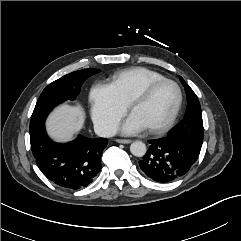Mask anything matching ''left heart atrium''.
Returning a JSON list of instances; mask_svg holds the SVG:
<instances>
[{
    "label": "left heart atrium",
    "mask_w": 241,
    "mask_h": 241,
    "mask_svg": "<svg viewBox=\"0 0 241 241\" xmlns=\"http://www.w3.org/2000/svg\"><path fill=\"white\" fill-rule=\"evenodd\" d=\"M147 126L133 113L128 117L122 126L124 134H134L145 130Z\"/></svg>",
    "instance_id": "1"
}]
</instances>
